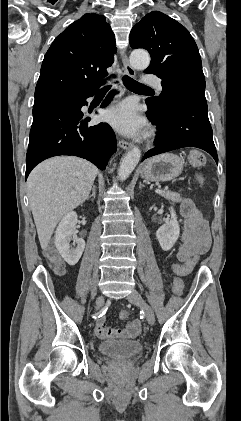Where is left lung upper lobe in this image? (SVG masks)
Returning <instances> with one entry per match:
<instances>
[{"label":"left lung upper lobe","instance_id":"left-lung-upper-lobe-1","mask_svg":"<svg viewBox=\"0 0 241 421\" xmlns=\"http://www.w3.org/2000/svg\"><path fill=\"white\" fill-rule=\"evenodd\" d=\"M132 48H144L151 55L145 73H153L161 80L160 97L148 98L157 108L168 106L178 94L205 91V78L197 45L188 30L159 11L146 14L131 30Z\"/></svg>","mask_w":241,"mask_h":421}]
</instances>
